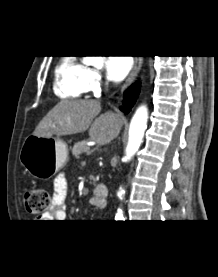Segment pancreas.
<instances>
[{"label": "pancreas", "mask_w": 218, "mask_h": 277, "mask_svg": "<svg viewBox=\"0 0 218 277\" xmlns=\"http://www.w3.org/2000/svg\"><path fill=\"white\" fill-rule=\"evenodd\" d=\"M82 153H87V154H90V149L89 147L87 146V141L83 140L81 142H77L74 146H73V149H72V154L76 157V158H79L80 155ZM91 179L93 180V182H91L92 184H95L96 180L91 177Z\"/></svg>", "instance_id": "pancreas-1"}]
</instances>
